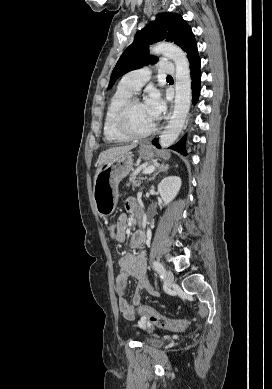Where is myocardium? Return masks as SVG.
I'll return each mask as SVG.
<instances>
[{"label": "myocardium", "instance_id": "obj_1", "mask_svg": "<svg viewBox=\"0 0 272 389\" xmlns=\"http://www.w3.org/2000/svg\"><path fill=\"white\" fill-rule=\"evenodd\" d=\"M138 103H142V101L138 97H136V96L130 97L121 106V108L119 109L117 116H116V126H117L118 131L121 134H123L124 136H126L128 139L139 140V139L147 138V137L151 136L157 129V126L155 123L153 124V126L149 130L142 132V133L134 132L131 129L130 123H129L130 111H131L132 107Z\"/></svg>", "mask_w": 272, "mask_h": 389}]
</instances>
